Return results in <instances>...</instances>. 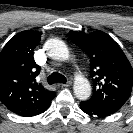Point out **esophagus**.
<instances>
[{
  "mask_svg": "<svg viewBox=\"0 0 133 133\" xmlns=\"http://www.w3.org/2000/svg\"><path fill=\"white\" fill-rule=\"evenodd\" d=\"M72 84L71 81H68L67 83L61 84L62 87H69Z\"/></svg>",
  "mask_w": 133,
  "mask_h": 133,
  "instance_id": "esophagus-1",
  "label": "esophagus"
}]
</instances>
